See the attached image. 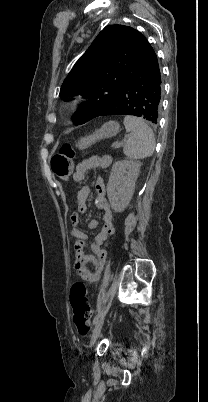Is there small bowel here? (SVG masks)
Instances as JSON below:
<instances>
[{
	"label": "small bowel",
	"instance_id": "small-bowel-1",
	"mask_svg": "<svg viewBox=\"0 0 208 402\" xmlns=\"http://www.w3.org/2000/svg\"><path fill=\"white\" fill-rule=\"evenodd\" d=\"M112 163L109 156H93L78 163L73 173L75 182H83L86 179L87 172L91 169L106 168ZM95 188L97 192L96 203L102 211V229L97 235L95 245L93 246V255H87L83 246L85 244V234L77 228L80 221V214L87 211V199L90 194V187L85 185L79 188L76 192L75 203L77 211L72 213L70 220L74 228L71 235L76 244L74 246L75 267L78 274L88 283L94 284L101 278V273L104 267V261L107 255L103 244L115 232L113 212L105 197V181L101 175H98L95 180ZM97 220H91L89 227L95 229L98 226ZM91 266V269L88 266Z\"/></svg>",
	"mask_w": 208,
	"mask_h": 402
}]
</instances>
